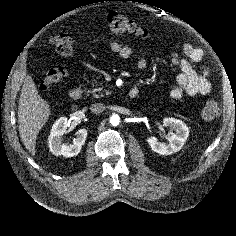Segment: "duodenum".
Segmentation results:
<instances>
[{
  "label": "duodenum",
  "instance_id": "duodenum-1",
  "mask_svg": "<svg viewBox=\"0 0 236 236\" xmlns=\"http://www.w3.org/2000/svg\"><path fill=\"white\" fill-rule=\"evenodd\" d=\"M139 94V91L138 89L136 88H132L130 91H129V97L131 99H134L138 96ZM69 96L71 99L73 100H78L81 98L82 96V91L79 89V88H73L72 90H70L69 92Z\"/></svg>",
  "mask_w": 236,
  "mask_h": 236
}]
</instances>
